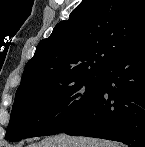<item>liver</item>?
Returning a JSON list of instances; mask_svg holds the SVG:
<instances>
[{"instance_id": "obj_1", "label": "liver", "mask_w": 145, "mask_h": 147, "mask_svg": "<svg viewBox=\"0 0 145 147\" xmlns=\"http://www.w3.org/2000/svg\"><path fill=\"white\" fill-rule=\"evenodd\" d=\"M29 147H121L118 143L85 137H72L65 134L47 137Z\"/></svg>"}]
</instances>
